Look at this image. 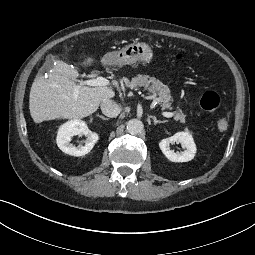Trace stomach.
<instances>
[{"mask_svg": "<svg viewBox=\"0 0 255 255\" xmlns=\"http://www.w3.org/2000/svg\"><path fill=\"white\" fill-rule=\"evenodd\" d=\"M153 58L151 47L145 42H133L119 51L107 53L104 62L108 65L121 67L136 62H150Z\"/></svg>", "mask_w": 255, "mask_h": 255, "instance_id": "obj_1", "label": "stomach"}]
</instances>
